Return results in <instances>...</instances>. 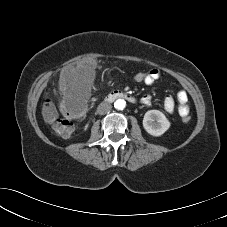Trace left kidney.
Masks as SVG:
<instances>
[{
  "label": "left kidney",
  "mask_w": 227,
  "mask_h": 227,
  "mask_svg": "<svg viewBox=\"0 0 227 227\" xmlns=\"http://www.w3.org/2000/svg\"><path fill=\"white\" fill-rule=\"evenodd\" d=\"M143 127L152 136H161L170 127V122L159 110H149L143 118Z\"/></svg>",
  "instance_id": "obj_1"
}]
</instances>
